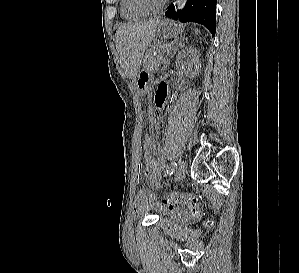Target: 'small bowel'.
Returning a JSON list of instances; mask_svg holds the SVG:
<instances>
[{"instance_id": "c3829d8e", "label": "small bowel", "mask_w": 299, "mask_h": 273, "mask_svg": "<svg viewBox=\"0 0 299 273\" xmlns=\"http://www.w3.org/2000/svg\"><path fill=\"white\" fill-rule=\"evenodd\" d=\"M168 100V88L167 85L164 83H161L159 85V88L155 95V104L158 109H164ZM145 153H144V162H145V168H144V175L149 180L150 185L157 189H162V182H161V176L159 171V164L155 160L153 153H152V145L144 147ZM154 202V196L147 191L141 190L136 195V201L135 206L137 210H141L145 206L152 204ZM154 206L156 209L163 213H175L179 216L185 215V213L178 208H176L175 205L172 207H167L160 203H154Z\"/></svg>"}]
</instances>
